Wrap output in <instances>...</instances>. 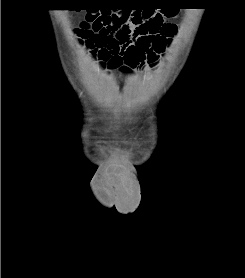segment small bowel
<instances>
[{
    "label": "small bowel",
    "mask_w": 245,
    "mask_h": 278,
    "mask_svg": "<svg viewBox=\"0 0 245 278\" xmlns=\"http://www.w3.org/2000/svg\"><path fill=\"white\" fill-rule=\"evenodd\" d=\"M175 13L176 11H174L173 15ZM79 36L87 45L91 43L97 48V41L88 39L86 33H80ZM163 40L168 42L170 38ZM166 44L163 45L161 51H158L154 49L152 44L142 46L138 38H134L128 44L122 45L115 35H110L101 43L103 54L98 55L101 60L100 67L103 69L105 67L116 68L126 65L130 70L153 67L159 60L160 53L165 49Z\"/></svg>",
    "instance_id": "small-bowel-1"
}]
</instances>
